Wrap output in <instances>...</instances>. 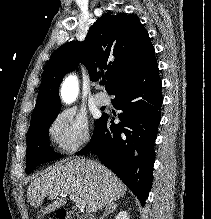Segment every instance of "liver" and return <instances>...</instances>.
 Returning a JSON list of instances; mask_svg holds the SVG:
<instances>
[{
	"instance_id": "liver-1",
	"label": "liver",
	"mask_w": 211,
	"mask_h": 219,
	"mask_svg": "<svg viewBox=\"0 0 211 219\" xmlns=\"http://www.w3.org/2000/svg\"><path fill=\"white\" fill-rule=\"evenodd\" d=\"M126 191L124 183L99 162L76 158L36 177L28 187L27 198L31 206L41 207L44 216L64 206L68 195H77L90 214L122 198ZM56 194L60 197L43 209L44 198Z\"/></svg>"
}]
</instances>
